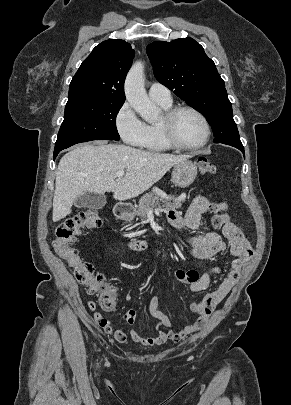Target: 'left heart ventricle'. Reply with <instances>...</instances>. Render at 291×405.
Returning <instances> with one entry per match:
<instances>
[{
	"instance_id": "left-heart-ventricle-1",
	"label": "left heart ventricle",
	"mask_w": 291,
	"mask_h": 405,
	"mask_svg": "<svg viewBox=\"0 0 291 405\" xmlns=\"http://www.w3.org/2000/svg\"><path fill=\"white\" fill-rule=\"evenodd\" d=\"M175 133L181 143L194 146L203 141L205 128L197 115L190 111H184L176 119Z\"/></svg>"
}]
</instances>
